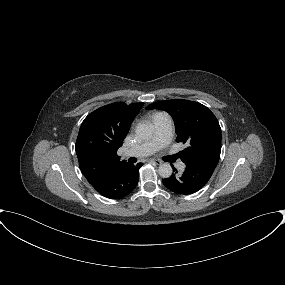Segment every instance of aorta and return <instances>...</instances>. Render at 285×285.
<instances>
[{
	"instance_id": "1",
	"label": "aorta",
	"mask_w": 285,
	"mask_h": 285,
	"mask_svg": "<svg viewBox=\"0 0 285 285\" xmlns=\"http://www.w3.org/2000/svg\"><path fill=\"white\" fill-rule=\"evenodd\" d=\"M137 138L148 140L153 135V128L147 124H138L135 129ZM173 169L169 163H163L158 168V173L162 178H169L172 175Z\"/></svg>"
}]
</instances>
